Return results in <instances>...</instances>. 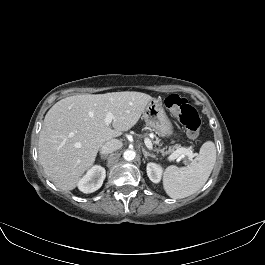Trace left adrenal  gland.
Segmentation results:
<instances>
[{
	"mask_svg": "<svg viewBox=\"0 0 265 265\" xmlns=\"http://www.w3.org/2000/svg\"><path fill=\"white\" fill-rule=\"evenodd\" d=\"M142 152H143V155H144L145 159H147L148 156L149 157H152V158H155V155L154 154L146 151L144 148L142 149Z\"/></svg>",
	"mask_w": 265,
	"mask_h": 265,
	"instance_id": "a2214340",
	"label": "left adrenal gland"
}]
</instances>
